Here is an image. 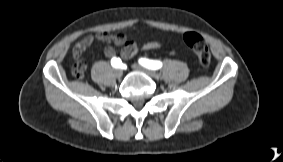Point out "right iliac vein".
Returning a JSON list of instances; mask_svg holds the SVG:
<instances>
[{"mask_svg": "<svg viewBox=\"0 0 283 162\" xmlns=\"http://www.w3.org/2000/svg\"><path fill=\"white\" fill-rule=\"evenodd\" d=\"M114 75L116 78H121L123 75V70L121 68H117L114 70Z\"/></svg>", "mask_w": 283, "mask_h": 162, "instance_id": "obj_1", "label": "right iliac vein"}]
</instances>
